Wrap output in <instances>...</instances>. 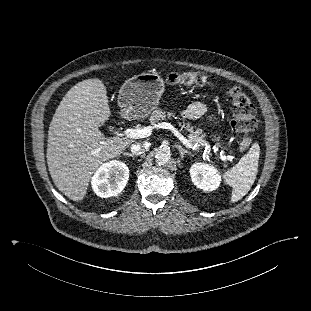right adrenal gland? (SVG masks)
I'll use <instances>...</instances> for the list:
<instances>
[{
  "instance_id": "1",
  "label": "right adrenal gland",
  "mask_w": 311,
  "mask_h": 311,
  "mask_svg": "<svg viewBox=\"0 0 311 311\" xmlns=\"http://www.w3.org/2000/svg\"><path fill=\"white\" fill-rule=\"evenodd\" d=\"M125 156H128V157H133L134 154H131V153H124Z\"/></svg>"
}]
</instances>
